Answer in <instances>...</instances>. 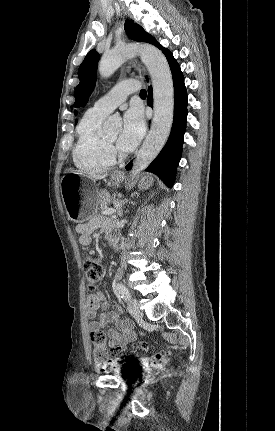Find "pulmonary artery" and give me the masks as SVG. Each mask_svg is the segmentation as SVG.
<instances>
[{
    "label": "pulmonary artery",
    "mask_w": 275,
    "mask_h": 431,
    "mask_svg": "<svg viewBox=\"0 0 275 431\" xmlns=\"http://www.w3.org/2000/svg\"><path fill=\"white\" fill-rule=\"evenodd\" d=\"M139 89V83L134 80H124L115 85L107 94L99 98L93 108L99 112L109 114L122 104L129 94Z\"/></svg>",
    "instance_id": "1"
}]
</instances>
